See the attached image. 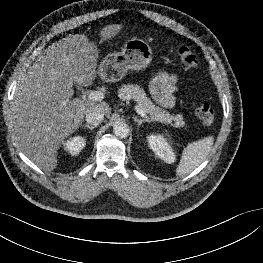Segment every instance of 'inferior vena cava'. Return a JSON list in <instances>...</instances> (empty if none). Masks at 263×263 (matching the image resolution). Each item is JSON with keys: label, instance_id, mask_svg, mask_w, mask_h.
Here are the masks:
<instances>
[{"label": "inferior vena cava", "instance_id": "1", "mask_svg": "<svg viewBox=\"0 0 263 263\" xmlns=\"http://www.w3.org/2000/svg\"><path fill=\"white\" fill-rule=\"evenodd\" d=\"M104 115L105 114L101 109L93 108L86 113L85 117L87 123L97 126L103 121Z\"/></svg>", "mask_w": 263, "mask_h": 263}]
</instances>
